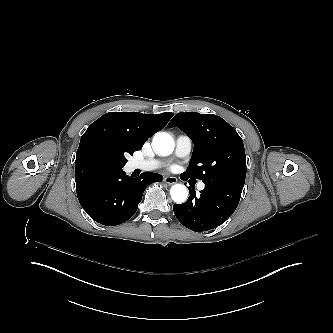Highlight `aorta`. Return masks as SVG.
Segmentation results:
<instances>
[{
  "instance_id": "aorta-1",
  "label": "aorta",
  "mask_w": 333,
  "mask_h": 333,
  "mask_svg": "<svg viewBox=\"0 0 333 333\" xmlns=\"http://www.w3.org/2000/svg\"><path fill=\"white\" fill-rule=\"evenodd\" d=\"M153 148L160 156H168L174 151V140L166 132H157L153 137ZM170 195L174 202L183 203L188 197L186 186L182 184H175L170 189Z\"/></svg>"
}]
</instances>
